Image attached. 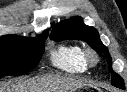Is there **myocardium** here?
<instances>
[{
  "instance_id": "myocardium-1",
  "label": "myocardium",
  "mask_w": 127,
  "mask_h": 92,
  "mask_svg": "<svg viewBox=\"0 0 127 92\" xmlns=\"http://www.w3.org/2000/svg\"><path fill=\"white\" fill-rule=\"evenodd\" d=\"M84 60L87 65L94 66L98 63L99 57L93 50L87 49L84 52Z\"/></svg>"
}]
</instances>
